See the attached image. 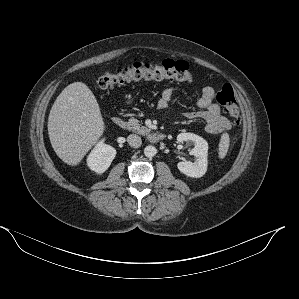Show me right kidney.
<instances>
[{
	"label": "right kidney",
	"instance_id": "1",
	"mask_svg": "<svg viewBox=\"0 0 299 299\" xmlns=\"http://www.w3.org/2000/svg\"><path fill=\"white\" fill-rule=\"evenodd\" d=\"M116 156V150L100 141L87 158L88 167L98 174L105 172Z\"/></svg>",
	"mask_w": 299,
	"mask_h": 299
}]
</instances>
